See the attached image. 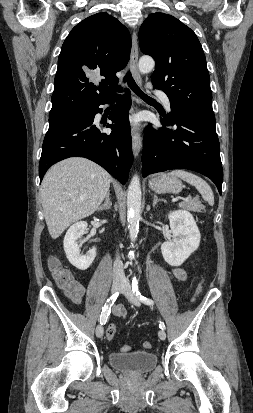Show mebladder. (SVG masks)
Returning <instances> with one entry per match:
<instances>
[{"label":"bladder","instance_id":"1","mask_svg":"<svg viewBox=\"0 0 253 413\" xmlns=\"http://www.w3.org/2000/svg\"><path fill=\"white\" fill-rule=\"evenodd\" d=\"M108 360L113 368L120 371L131 374H145L155 368L158 357L150 351L112 352L109 354Z\"/></svg>","mask_w":253,"mask_h":413}]
</instances>
